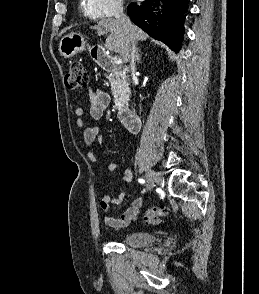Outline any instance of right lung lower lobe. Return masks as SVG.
<instances>
[{"label": "right lung lower lobe", "instance_id": "obj_1", "mask_svg": "<svg viewBox=\"0 0 259 294\" xmlns=\"http://www.w3.org/2000/svg\"><path fill=\"white\" fill-rule=\"evenodd\" d=\"M159 0H144L140 3H131L128 15L132 21L151 37L164 42L173 51L178 52L183 40V13L187 9V0H163L164 9L157 17L154 14ZM158 20V22L156 21Z\"/></svg>", "mask_w": 259, "mask_h": 294}]
</instances>
